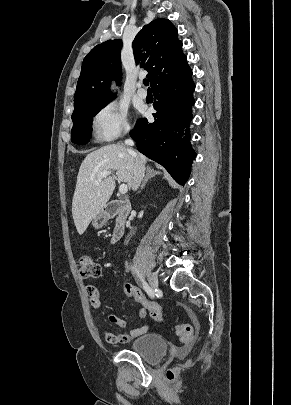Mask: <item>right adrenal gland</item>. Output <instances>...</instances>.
<instances>
[{
	"label": "right adrenal gland",
	"mask_w": 291,
	"mask_h": 405,
	"mask_svg": "<svg viewBox=\"0 0 291 405\" xmlns=\"http://www.w3.org/2000/svg\"><path fill=\"white\" fill-rule=\"evenodd\" d=\"M159 174H160V172H158V171L154 170L153 168L147 166L146 176H145V179H144L140 189L142 190L145 187V184L148 182V180L150 178H153V177H155L156 175H159ZM140 192L141 191H138V193H140Z\"/></svg>",
	"instance_id": "1"
}]
</instances>
